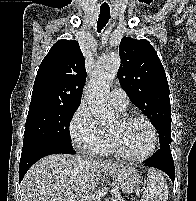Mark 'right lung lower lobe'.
Here are the masks:
<instances>
[{"instance_id": "right-lung-lower-lobe-1", "label": "right lung lower lobe", "mask_w": 196, "mask_h": 201, "mask_svg": "<svg viewBox=\"0 0 196 201\" xmlns=\"http://www.w3.org/2000/svg\"><path fill=\"white\" fill-rule=\"evenodd\" d=\"M56 153L75 154L73 147H64L54 143H37L22 149L19 180L23 179L28 169L44 156Z\"/></svg>"}]
</instances>
